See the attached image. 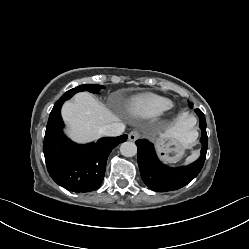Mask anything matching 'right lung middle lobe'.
<instances>
[{
    "label": "right lung middle lobe",
    "mask_w": 249,
    "mask_h": 249,
    "mask_svg": "<svg viewBox=\"0 0 249 249\" xmlns=\"http://www.w3.org/2000/svg\"><path fill=\"white\" fill-rule=\"evenodd\" d=\"M101 89H104V86L96 85V84L81 85L64 93L57 102H64L68 100L69 98H71L75 93L80 92V91H89L92 93H96L100 91Z\"/></svg>",
    "instance_id": "dd1d6c3e"
}]
</instances>
